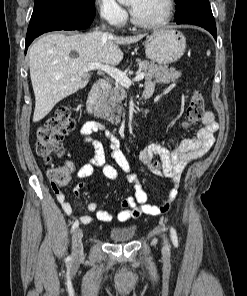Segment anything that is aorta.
<instances>
[{
	"label": "aorta",
	"instance_id": "1",
	"mask_svg": "<svg viewBox=\"0 0 247 296\" xmlns=\"http://www.w3.org/2000/svg\"><path fill=\"white\" fill-rule=\"evenodd\" d=\"M119 3H125L128 2V0H117Z\"/></svg>",
	"mask_w": 247,
	"mask_h": 296
}]
</instances>
